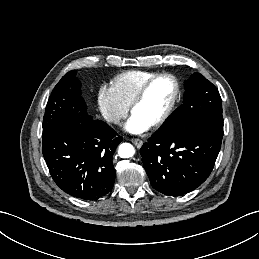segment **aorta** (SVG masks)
Segmentation results:
<instances>
[{
    "instance_id": "aorta-1",
    "label": "aorta",
    "mask_w": 259,
    "mask_h": 259,
    "mask_svg": "<svg viewBox=\"0 0 259 259\" xmlns=\"http://www.w3.org/2000/svg\"><path fill=\"white\" fill-rule=\"evenodd\" d=\"M135 154V148L130 143H122L118 148V155L121 158H131Z\"/></svg>"
}]
</instances>
